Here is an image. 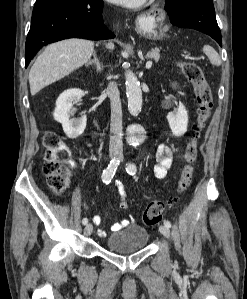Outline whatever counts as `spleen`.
<instances>
[{
    "mask_svg": "<svg viewBox=\"0 0 247 299\" xmlns=\"http://www.w3.org/2000/svg\"><path fill=\"white\" fill-rule=\"evenodd\" d=\"M203 52L206 54L211 64L216 66L221 65V58L213 47L210 45H204Z\"/></svg>",
    "mask_w": 247,
    "mask_h": 299,
    "instance_id": "spleen-1",
    "label": "spleen"
}]
</instances>
